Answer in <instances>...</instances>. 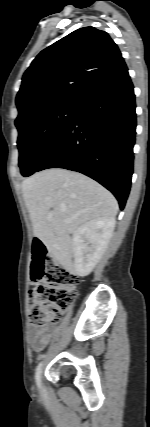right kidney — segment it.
I'll list each match as a JSON object with an SVG mask.
<instances>
[{"label": "right kidney", "instance_id": "obj_1", "mask_svg": "<svg viewBox=\"0 0 150 427\" xmlns=\"http://www.w3.org/2000/svg\"><path fill=\"white\" fill-rule=\"evenodd\" d=\"M115 218L87 222L72 237L74 271L84 277L89 275L104 254L112 237Z\"/></svg>", "mask_w": 150, "mask_h": 427}]
</instances>
